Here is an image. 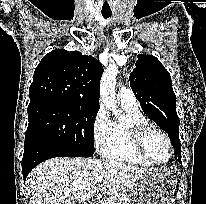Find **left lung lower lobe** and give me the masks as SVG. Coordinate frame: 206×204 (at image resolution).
<instances>
[{
    "label": "left lung lower lobe",
    "instance_id": "left-lung-lower-lobe-1",
    "mask_svg": "<svg viewBox=\"0 0 206 204\" xmlns=\"http://www.w3.org/2000/svg\"><path fill=\"white\" fill-rule=\"evenodd\" d=\"M176 158H178L179 162H181V154L180 155H177L175 156Z\"/></svg>",
    "mask_w": 206,
    "mask_h": 204
}]
</instances>
